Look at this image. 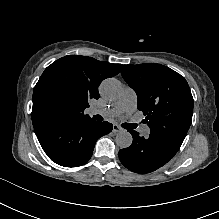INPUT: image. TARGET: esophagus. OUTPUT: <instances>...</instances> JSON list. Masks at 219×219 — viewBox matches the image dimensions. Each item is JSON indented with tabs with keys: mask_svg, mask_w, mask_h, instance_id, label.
Wrapping results in <instances>:
<instances>
[{
	"mask_svg": "<svg viewBox=\"0 0 219 219\" xmlns=\"http://www.w3.org/2000/svg\"><path fill=\"white\" fill-rule=\"evenodd\" d=\"M123 129L119 126V125H117V124H114L113 125V132L114 133H118V132H121Z\"/></svg>",
	"mask_w": 219,
	"mask_h": 219,
	"instance_id": "esophagus-1",
	"label": "esophagus"
}]
</instances>
